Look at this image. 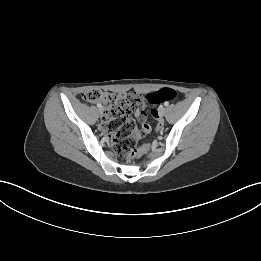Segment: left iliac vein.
I'll return each mask as SVG.
<instances>
[{
	"instance_id": "4c4485c4",
	"label": "left iliac vein",
	"mask_w": 261,
	"mask_h": 261,
	"mask_svg": "<svg viewBox=\"0 0 261 261\" xmlns=\"http://www.w3.org/2000/svg\"><path fill=\"white\" fill-rule=\"evenodd\" d=\"M165 113H166V108L165 107H160V109H159L160 116H164Z\"/></svg>"
}]
</instances>
